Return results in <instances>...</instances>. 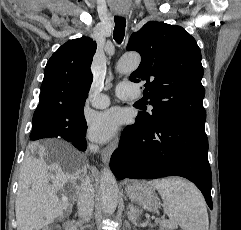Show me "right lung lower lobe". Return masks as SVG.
<instances>
[{
	"label": "right lung lower lobe",
	"mask_w": 241,
	"mask_h": 230,
	"mask_svg": "<svg viewBox=\"0 0 241 230\" xmlns=\"http://www.w3.org/2000/svg\"><path fill=\"white\" fill-rule=\"evenodd\" d=\"M40 114L41 113H38V114H36V112L34 113V115H40ZM36 130H37V127L33 126L32 132H35ZM52 134L55 135L56 137H59L61 139L71 142L77 149H79L81 151H85L87 149V142L85 139L86 131H85L84 135H82V136H77L74 134L72 136L63 135L60 137L59 133H52Z\"/></svg>",
	"instance_id": "1"
}]
</instances>
